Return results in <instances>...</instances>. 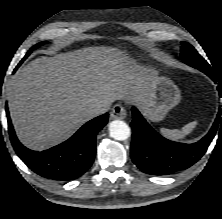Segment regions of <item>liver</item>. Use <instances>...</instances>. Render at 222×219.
<instances>
[{
  "mask_svg": "<svg viewBox=\"0 0 222 219\" xmlns=\"http://www.w3.org/2000/svg\"><path fill=\"white\" fill-rule=\"evenodd\" d=\"M112 47H87L37 58L9 82V111L20 141L34 150L56 145L92 119L90 109L115 100L141 103L154 77Z\"/></svg>",
  "mask_w": 222,
  "mask_h": 219,
  "instance_id": "1",
  "label": "liver"
}]
</instances>
